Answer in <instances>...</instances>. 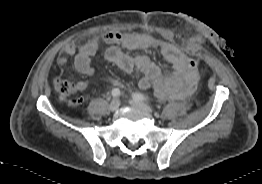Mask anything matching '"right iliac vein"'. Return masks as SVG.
Returning a JSON list of instances; mask_svg holds the SVG:
<instances>
[{"mask_svg": "<svg viewBox=\"0 0 262 184\" xmlns=\"http://www.w3.org/2000/svg\"><path fill=\"white\" fill-rule=\"evenodd\" d=\"M120 102L118 99H113L109 105L111 111H116L119 108Z\"/></svg>", "mask_w": 262, "mask_h": 184, "instance_id": "1", "label": "right iliac vein"}]
</instances>
